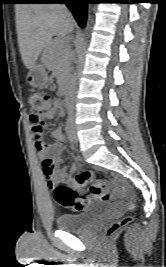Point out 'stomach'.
<instances>
[{"mask_svg": "<svg viewBox=\"0 0 166 267\" xmlns=\"http://www.w3.org/2000/svg\"><path fill=\"white\" fill-rule=\"evenodd\" d=\"M27 83L32 87H42L48 81V73L43 64H35L30 68L27 76Z\"/></svg>", "mask_w": 166, "mask_h": 267, "instance_id": "0dacf381", "label": "stomach"}]
</instances>
